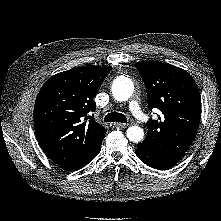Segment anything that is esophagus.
Returning a JSON list of instances; mask_svg holds the SVG:
<instances>
[{
    "label": "esophagus",
    "instance_id": "1",
    "mask_svg": "<svg viewBox=\"0 0 221 221\" xmlns=\"http://www.w3.org/2000/svg\"><path fill=\"white\" fill-rule=\"evenodd\" d=\"M114 126L117 128H126L128 126V124L115 122Z\"/></svg>",
    "mask_w": 221,
    "mask_h": 221
}]
</instances>
